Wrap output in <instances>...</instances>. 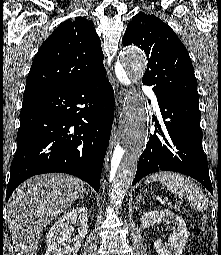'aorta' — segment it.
<instances>
[{"instance_id": "aorta-1", "label": "aorta", "mask_w": 221, "mask_h": 255, "mask_svg": "<svg viewBox=\"0 0 221 255\" xmlns=\"http://www.w3.org/2000/svg\"><path fill=\"white\" fill-rule=\"evenodd\" d=\"M124 70L117 73L122 83L138 81L146 69V57L136 47H127L121 55ZM148 113L142 93L134 91L129 98L124 116V139L115 148L109 173L111 201L118 205L130 187L148 138Z\"/></svg>"}]
</instances>
